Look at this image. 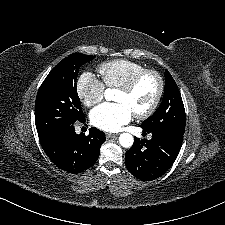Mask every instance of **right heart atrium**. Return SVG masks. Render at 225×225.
I'll return each instance as SVG.
<instances>
[{
    "label": "right heart atrium",
    "instance_id": "obj_1",
    "mask_svg": "<svg viewBox=\"0 0 225 225\" xmlns=\"http://www.w3.org/2000/svg\"><path fill=\"white\" fill-rule=\"evenodd\" d=\"M104 90V82L90 71L83 72L76 83L77 95L88 107L98 104L103 99Z\"/></svg>",
    "mask_w": 225,
    "mask_h": 225
}]
</instances>
